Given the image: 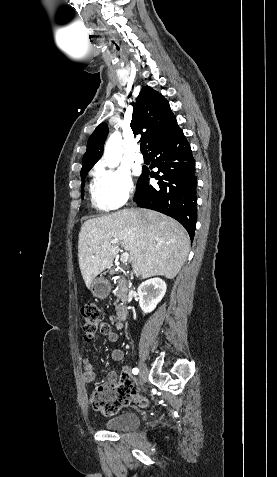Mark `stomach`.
I'll use <instances>...</instances> for the list:
<instances>
[{
  "label": "stomach",
  "instance_id": "stomach-1",
  "mask_svg": "<svg viewBox=\"0 0 277 477\" xmlns=\"http://www.w3.org/2000/svg\"><path fill=\"white\" fill-rule=\"evenodd\" d=\"M111 285L108 280L100 276L93 280L91 284V292L97 298H105L109 295Z\"/></svg>",
  "mask_w": 277,
  "mask_h": 477
}]
</instances>
